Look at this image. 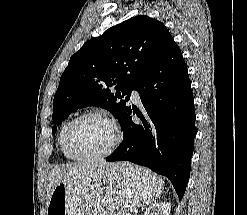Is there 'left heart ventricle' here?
I'll return each instance as SVG.
<instances>
[{"label":"left heart ventricle","instance_id":"1","mask_svg":"<svg viewBox=\"0 0 247 215\" xmlns=\"http://www.w3.org/2000/svg\"><path fill=\"white\" fill-rule=\"evenodd\" d=\"M114 139L111 126L97 118L80 121L73 134L74 149L81 155H92L105 151Z\"/></svg>","mask_w":247,"mask_h":215}]
</instances>
